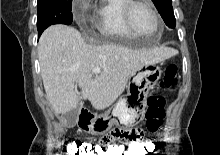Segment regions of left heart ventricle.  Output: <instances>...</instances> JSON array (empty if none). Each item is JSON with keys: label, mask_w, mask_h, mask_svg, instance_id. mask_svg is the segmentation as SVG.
Returning <instances> with one entry per match:
<instances>
[{"label": "left heart ventricle", "mask_w": 220, "mask_h": 155, "mask_svg": "<svg viewBox=\"0 0 220 155\" xmlns=\"http://www.w3.org/2000/svg\"><path fill=\"white\" fill-rule=\"evenodd\" d=\"M132 20L135 28L143 34H153L157 29L154 16L150 10L143 5L134 7L132 11Z\"/></svg>", "instance_id": "obj_1"}]
</instances>
